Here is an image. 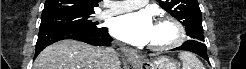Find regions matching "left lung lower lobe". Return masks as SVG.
<instances>
[{
  "label": "left lung lower lobe",
  "mask_w": 246,
  "mask_h": 69,
  "mask_svg": "<svg viewBox=\"0 0 246 69\" xmlns=\"http://www.w3.org/2000/svg\"><path fill=\"white\" fill-rule=\"evenodd\" d=\"M173 50H186V51L193 52L201 56L205 60H207L209 63L206 45L203 42L196 41V40H188L184 42L180 47H177Z\"/></svg>",
  "instance_id": "left-lung-lower-lobe-1"
}]
</instances>
